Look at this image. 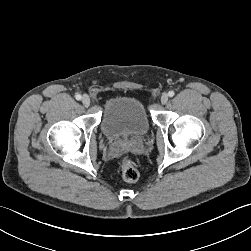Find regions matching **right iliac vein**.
Here are the masks:
<instances>
[{"label": "right iliac vein", "mask_w": 251, "mask_h": 251, "mask_svg": "<svg viewBox=\"0 0 251 251\" xmlns=\"http://www.w3.org/2000/svg\"><path fill=\"white\" fill-rule=\"evenodd\" d=\"M90 98L88 95H84L82 97V104L85 106V107H88L90 105Z\"/></svg>", "instance_id": "63e3f726"}]
</instances>
